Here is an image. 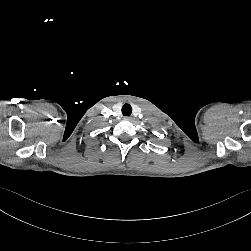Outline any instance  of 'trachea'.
Returning <instances> with one entry per match:
<instances>
[{
  "label": "trachea",
  "instance_id": "1",
  "mask_svg": "<svg viewBox=\"0 0 251 251\" xmlns=\"http://www.w3.org/2000/svg\"><path fill=\"white\" fill-rule=\"evenodd\" d=\"M132 113V107L130 106V104H124L122 107V114L124 116H130Z\"/></svg>",
  "mask_w": 251,
  "mask_h": 251
}]
</instances>
